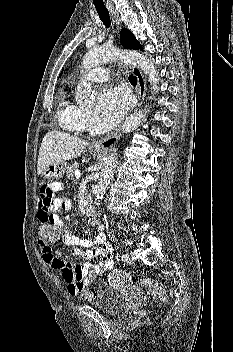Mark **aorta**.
Here are the masks:
<instances>
[{"instance_id":"762f6f07","label":"aorta","mask_w":233,"mask_h":352,"mask_svg":"<svg viewBox=\"0 0 233 352\" xmlns=\"http://www.w3.org/2000/svg\"><path fill=\"white\" fill-rule=\"evenodd\" d=\"M125 60L137 65L144 74L148 77L154 91H158L157 84L159 79L157 77L154 64L143 54L139 52H124L110 47H93L91 48L83 59L82 67L85 70L96 67L104 62L112 60ZM94 92L91 85L87 82L83 75L75 90V99L79 104L89 105L94 101ZM146 111H139L128 117L122 125V132L128 133L136 129L146 118ZM117 165V153L112 151L106 158L105 165L100 172L98 179L97 193L95 203L100 205V201L104 198L108 184L113 177L114 170Z\"/></svg>"}]
</instances>
